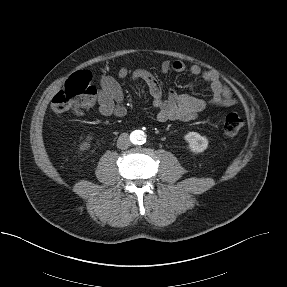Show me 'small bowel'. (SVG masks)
<instances>
[{
	"label": "small bowel",
	"instance_id": "small-bowel-1",
	"mask_svg": "<svg viewBox=\"0 0 287 287\" xmlns=\"http://www.w3.org/2000/svg\"><path fill=\"white\" fill-rule=\"evenodd\" d=\"M161 70L164 73L169 71L182 73L188 70L193 76L201 77L208 83L212 94L209 99H204L188 94H179L170 89L164 96L161 83L151 72L145 69L130 71L126 67H121L118 71L120 79H126L130 76L133 80L142 81L146 84L157 111V119L160 122H187L196 119L209 106L228 107L236 104L232 91L214 70H203L196 64L187 69L185 63L180 60L162 62ZM97 105L102 116L123 117L126 115L124 93L121 85L114 77L110 75L101 77Z\"/></svg>",
	"mask_w": 287,
	"mask_h": 287
}]
</instances>
